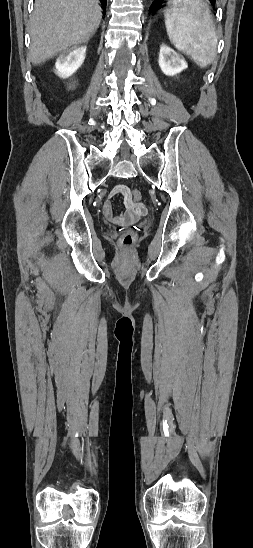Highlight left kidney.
Instances as JSON below:
<instances>
[{"label":"left kidney","instance_id":"1","mask_svg":"<svg viewBox=\"0 0 253 548\" xmlns=\"http://www.w3.org/2000/svg\"><path fill=\"white\" fill-rule=\"evenodd\" d=\"M159 66L167 76H174L187 68V63L182 56L165 44L160 46Z\"/></svg>","mask_w":253,"mask_h":548}]
</instances>
